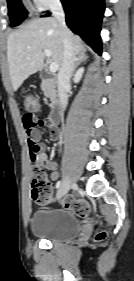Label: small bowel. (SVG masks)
Returning a JSON list of instances; mask_svg holds the SVG:
<instances>
[{
	"label": "small bowel",
	"instance_id": "c3829d8e",
	"mask_svg": "<svg viewBox=\"0 0 134 281\" xmlns=\"http://www.w3.org/2000/svg\"><path fill=\"white\" fill-rule=\"evenodd\" d=\"M22 120L27 136L31 164L34 167L46 168L50 170V180H57L59 177L57 164L46 154L47 145L41 141V132L39 130V127L45 125L48 126L50 139L55 141L59 137L57 127L51 123L49 124L44 119L38 118L32 112L25 113Z\"/></svg>",
	"mask_w": 134,
	"mask_h": 281
}]
</instances>
